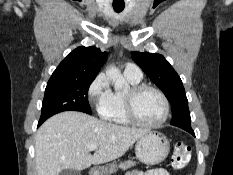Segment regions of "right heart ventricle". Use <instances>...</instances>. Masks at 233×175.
<instances>
[{"instance_id":"obj_1","label":"right heart ventricle","mask_w":233,"mask_h":175,"mask_svg":"<svg viewBox=\"0 0 233 175\" xmlns=\"http://www.w3.org/2000/svg\"><path fill=\"white\" fill-rule=\"evenodd\" d=\"M130 85L139 84L140 80L125 76ZM124 92L110 91L108 98L99 105V116L118 126L131 125L124 107Z\"/></svg>"}]
</instances>
